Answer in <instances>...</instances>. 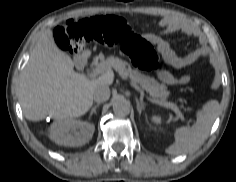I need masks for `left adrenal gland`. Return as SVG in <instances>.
<instances>
[{
  "label": "left adrenal gland",
  "mask_w": 236,
  "mask_h": 182,
  "mask_svg": "<svg viewBox=\"0 0 236 182\" xmlns=\"http://www.w3.org/2000/svg\"><path fill=\"white\" fill-rule=\"evenodd\" d=\"M136 104H137V110L139 115H141L142 110L144 109V103L140 102L137 98H136Z\"/></svg>",
  "instance_id": "obj_1"
}]
</instances>
